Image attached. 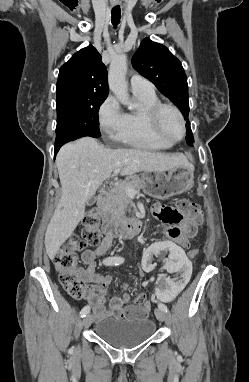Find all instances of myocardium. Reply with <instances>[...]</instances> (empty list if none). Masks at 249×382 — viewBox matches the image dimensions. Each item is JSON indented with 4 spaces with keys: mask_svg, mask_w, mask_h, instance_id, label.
I'll return each instance as SVG.
<instances>
[{
    "mask_svg": "<svg viewBox=\"0 0 249 382\" xmlns=\"http://www.w3.org/2000/svg\"><path fill=\"white\" fill-rule=\"evenodd\" d=\"M166 109L173 111L181 122L182 134L178 138H172L168 136L162 128L161 116L163 111ZM146 114L153 132L161 139L170 143H177L185 137L187 132L186 120L181 110L177 106L170 103L158 102L149 109H147Z\"/></svg>",
    "mask_w": 249,
    "mask_h": 382,
    "instance_id": "f54148a6",
    "label": "myocardium"
}]
</instances>
